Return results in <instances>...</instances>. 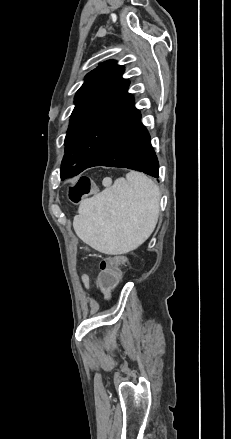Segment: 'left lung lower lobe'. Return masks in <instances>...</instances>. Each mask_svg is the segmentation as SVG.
Here are the masks:
<instances>
[{
  "instance_id": "0a47b994",
  "label": "left lung lower lobe",
  "mask_w": 231,
  "mask_h": 439,
  "mask_svg": "<svg viewBox=\"0 0 231 439\" xmlns=\"http://www.w3.org/2000/svg\"><path fill=\"white\" fill-rule=\"evenodd\" d=\"M94 166L129 168L159 177V164L150 135L134 106L110 133L85 169ZM84 169V170H85Z\"/></svg>"
}]
</instances>
